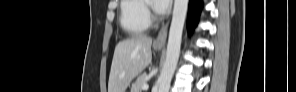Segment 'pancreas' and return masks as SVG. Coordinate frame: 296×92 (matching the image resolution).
Returning <instances> with one entry per match:
<instances>
[{"label": "pancreas", "instance_id": "cf45deb5", "mask_svg": "<svg viewBox=\"0 0 296 92\" xmlns=\"http://www.w3.org/2000/svg\"><path fill=\"white\" fill-rule=\"evenodd\" d=\"M147 82V75L141 74L135 83H133L131 92H142V86Z\"/></svg>", "mask_w": 296, "mask_h": 92}]
</instances>
